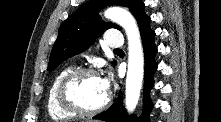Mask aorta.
<instances>
[{"instance_id":"obj_1","label":"aorta","mask_w":221,"mask_h":122,"mask_svg":"<svg viewBox=\"0 0 221 122\" xmlns=\"http://www.w3.org/2000/svg\"><path fill=\"white\" fill-rule=\"evenodd\" d=\"M105 17L124 28L128 38V69L126 77V109L133 112L139 101L144 73V55L138 26L134 17L121 7H111Z\"/></svg>"}]
</instances>
